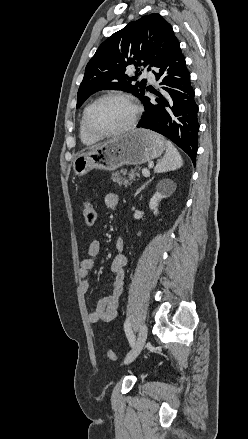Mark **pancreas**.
Masks as SVG:
<instances>
[{"instance_id": "cf45deb5", "label": "pancreas", "mask_w": 248, "mask_h": 439, "mask_svg": "<svg viewBox=\"0 0 248 439\" xmlns=\"http://www.w3.org/2000/svg\"><path fill=\"white\" fill-rule=\"evenodd\" d=\"M127 177H123L122 175ZM139 177V173L137 170L133 169L129 172H127V170H121L120 173H113L112 174V180L114 182H117L119 185H129L132 183V181L136 180Z\"/></svg>"}]
</instances>
